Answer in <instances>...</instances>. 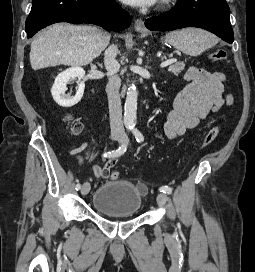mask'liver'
<instances>
[{
	"mask_svg": "<svg viewBox=\"0 0 255 272\" xmlns=\"http://www.w3.org/2000/svg\"><path fill=\"white\" fill-rule=\"evenodd\" d=\"M111 35L91 25L57 23L41 31L31 43L33 70L57 65L85 66L105 49Z\"/></svg>",
	"mask_w": 255,
	"mask_h": 272,
	"instance_id": "liver-1",
	"label": "liver"
}]
</instances>
